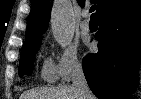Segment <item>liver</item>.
<instances>
[{"label": "liver", "mask_w": 141, "mask_h": 99, "mask_svg": "<svg viewBox=\"0 0 141 99\" xmlns=\"http://www.w3.org/2000/svg\"><path fill=\"white\" fill-rule=\"evenodd\" d=\"M20 99H80L77 90L71 85L33 88L23 92Z\"/></svg>", "instance_id": "obj_1"}]
</instances>
